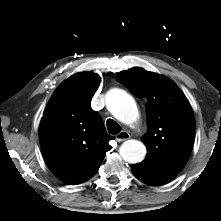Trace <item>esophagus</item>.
I'll return each instance as SVG.
<instances>
[{
	"label": "esophagus",
	"mask_w": 221,
	"mask_h": 221,
	"mask_svg": "<svg viewBox=\"0 0 221 221\" xmlns=\"http://www.w3.org/2000/svg\"><path fill=\"white\" fill-rule=\"evenodd\" d=\"M129 138H130V134L127 131H124V130L116 135V140L118 142L126 141Z\"/></svg>",
	"instance_id": "esophagus-1"
}]
</instances>
